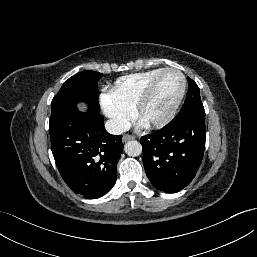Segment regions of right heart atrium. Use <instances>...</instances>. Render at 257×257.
<instances>
[{
	"label": "right heart atrium",
	"instance_id": "right-heart-atrium-1",
	"mask_svg": "<svg viewBox=\"0 0 257 257\" xmlns=\"http://www.w3.org/2000/svg\"><path fill=\"white\" fill-rule=\"evenodd\" d=\"M101 105L103 113L109 118L114 131H124L133 118L132 109L118 104L110 98L109 94L102 95Z\"/></svg>",
	"mask_w": 257,
	"mask_h": 257
}]
</instances>
